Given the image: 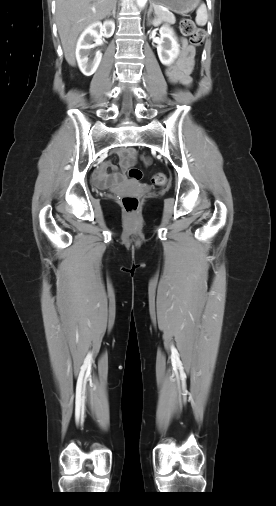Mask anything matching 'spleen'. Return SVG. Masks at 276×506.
I'll list each match as a JSON object with an SVG mask.
<instances>
[{
	"label": "spleen",
	"mask_w": 276,
	"mask_h": 506,
	"mask_svg": "<svg viewBox=\"0 0 276 506\" xmlns=\"http://www.w3.org/2000/svg\"><path fill=\"white\" fill-rule=\"evenodd\" d=\"M196 23L197 25L199 26H204L206 25L207 23V19H208V15H207V8H206V5L204 3H202L200 5V7L197 9V12H196Z\"/></svg>",
	"instance_id": "spleen-1"
}]
</instances>
